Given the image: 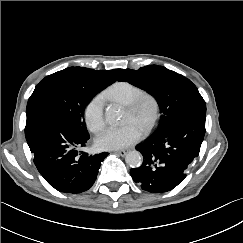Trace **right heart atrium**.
I'll list each match as a JSON object with an SVG mask.
<instances>
[{
	"label": "right heart atrium",
	"instance_id": "d8ad5b80",
	"mask_svg": "<svg viewBox=\"0 0 243 243\" xmlns=\"http://www.w3.org/2000/svg\"><path fill=\"white\" fill-rule=\"evenodd\" d=\"M104 105V97L96 95L85 106L84 119L88 129L94 133L101 131L105 126Z\"/></svg>",
	"mask_w": 243,
	"mask_h": 243
}]
</instances>
